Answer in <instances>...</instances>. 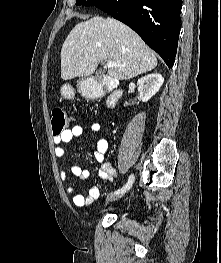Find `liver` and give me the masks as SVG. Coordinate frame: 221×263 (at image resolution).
Returning <instances> with one entry per match:
<instances>
[{
	"label": "liver",
	"mask_w": 221,
	"mask_h": 263,
	"mask_svg": "<svg viewBox=\"0 0 221 263\" xmlns=\"http://www.w3.org/2000/svg\"><path fill=\"white\" fill-rule=\"evenodd\" d=\"M113 61L108 75L128 80L151 71L157 59L128 26L113 18L93 17L78 23L61 49L63 80L92 75L103 60Z\"/></svg>",
	"instance_id": "liver-1"
}]
</instances>
